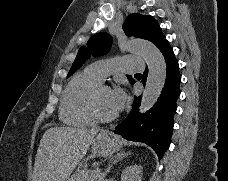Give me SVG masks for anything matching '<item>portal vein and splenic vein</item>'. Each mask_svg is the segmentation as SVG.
I'll use <instances>...</instances> for the list:
<instances>
[{"instance_id":"obj_1","label":"portal vein and splenic vein","mask_w":228,"mask_h":181,"mask_svg":"<svg viewBox=\"0 0 228 181\" xmlns=\"http://www.w3.org/2000/svg\"><path fill=\"white\" fill-rule=\"evenodd\" d=\"M98 172L102 174L104 171L101 169V170H99Z\"/></svg>"}]
</instances>
